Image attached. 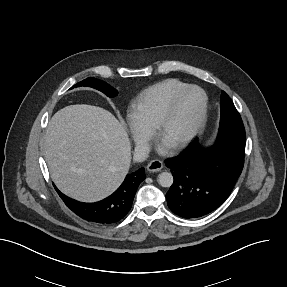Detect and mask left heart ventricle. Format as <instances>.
Returning <instances> with one entry per match:
<instances>
[{
	"label": "left heart ventricle",
	"mask_w": 287,
	"mask_h": 287,
	"mask_svg": "<svg viewBox=\"0 0 287 287\" xmlns=\"http://www.w3.org/2000/svg\"><path fill=\"white\" fill-rule=\"evenodd\" d=\"M201 104V95L196 91L185 94L177 103L164 135L163 143H174L184 136L197 118Z\"/></svg>",
	"instance_id": "b2bd125f"
}]
</instances>
